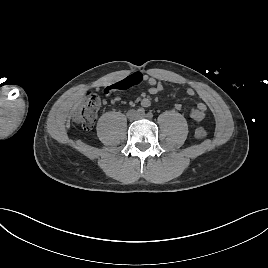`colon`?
Wrapping results in <instances>:
<instances>
[{
  "label": "colon",
  "mask_w": 268,
  "mask_h": 268,
  "mask_svg": "<svg viewBox=\"0 0 268 268\" xmlns=\"http://www.w3.org/2000/svg\"><path fill=\"white\" fill-rule=\"evenodd\" d=\"M136 85V81L126 78L121 82L107 87L105 94L111 93L114 89L125 90ZM100 107V97L95 92H88L83 101L73 111V121L85 130H90L95 122L98 109ZM197 139H203L206 136L205 128L199 126L194 131Z\"/></svg>",
  "instance_id": "5ec220e1"
}]
</instances>
